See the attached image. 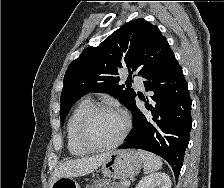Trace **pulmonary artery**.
Returning <instances> with one entry per match:
<instances>
[{"label": "pulmonary artery", "instance_id": "e3ab8cb5", "mask_svg": "<svg viewBox=\"0 0 224 188\" xmlns=\"http://www.w3.org/2000/svg\"><path fill=\"white\" fill-rule=\"evenodd\" d=\"M135 79H136V86L140 89H143V86H144L143 82L138 78H135Z\"/></svg>", "mask_w": 224, "mask_h": 188}]
</instances>
